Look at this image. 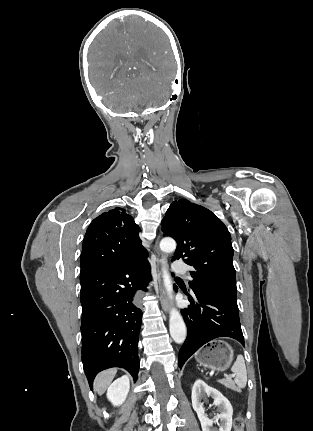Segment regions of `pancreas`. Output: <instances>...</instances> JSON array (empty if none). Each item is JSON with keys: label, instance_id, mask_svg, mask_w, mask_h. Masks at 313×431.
Wrapping results in <instances>:
<instances>
[{"label": "pancreas", "instance_id": "obj_1", "mask_svg": "<svg viewBox=\"0 0 313 431\" xmlns=\"http://www.w3.org/2000/svg\"><path fill=\"white\" fill-rule=\"evenodd\" d=\"M225 386L227 388L232 389V390L238 391V389L236 388V386L233 383H231V382L225 383Z\"/></svg>", "mask_w": 313, "mask_h": 431}]
</instances>
